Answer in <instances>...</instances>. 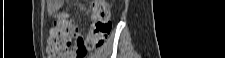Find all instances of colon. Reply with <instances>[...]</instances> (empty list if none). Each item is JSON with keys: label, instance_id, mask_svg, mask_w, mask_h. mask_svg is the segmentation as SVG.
Wrapping results in <instances>:
<instances>
[{"label": "colon", "instance_id": "5ec220e1", "mask_svg": "<svg viewBox=\"0 0 225 58\" xmlns=\"http://www.w3.org/2000/svg\"><path fill=\"white\" fill-rule=\"evenodd\" d=\"M92 24L90 31L82 36L79 29L60 12L49 39L48 53L51 58H85L87 54L100 48L111 32L110 12L105 1L96 0L91 6Z\"/></svg>", "mask_w": 225, "mask_h": 58}]
</instances>
